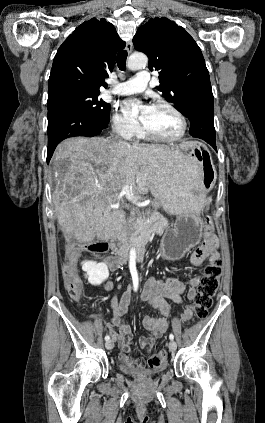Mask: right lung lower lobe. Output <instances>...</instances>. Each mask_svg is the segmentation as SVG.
<instances>
[{"label":"right lung lower lobe","mask_w":265,"mask_h":423,"mask_svg":"<svg viewBox=\"0 0 265 423\" xmlns=\"http://www.w3.org/2000/svg\"><path fill=\"white\" fill-rule=\"evenodd\" d=\"M107 127L108 123L77 106L57 105L48 109L47 162L62 140L75 136L93 137Z\"/></svg>","instance_id":"98d812e1"}]
</instances>
